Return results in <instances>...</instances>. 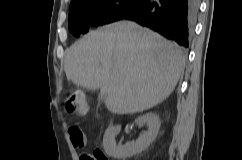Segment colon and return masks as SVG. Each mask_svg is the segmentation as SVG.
Here are the masks:
<instances>
[{
  "mask_svg": "<svg viewBox=\"0 0 242 160\" xmlns=\"http://www.w3.org/2000/svg\"><path fill=\"white\" fill-rule=\"evenodd\" d=\"M65 110L68 113H87L89 106L87 99L82 92H71L64 102ZM69 133L75 145L83 144L82 130L75 125L69 127ZM83 160H108L107 156L99 150H95L92 154H85Z\"/></svg>",
  "mask_w": 242,
  "mask_h": 160,
  "instance_id": "1",
  "label": "colon"
}]
</instances>
